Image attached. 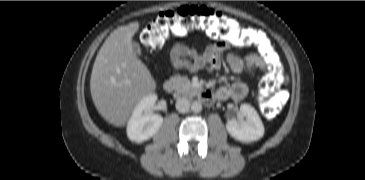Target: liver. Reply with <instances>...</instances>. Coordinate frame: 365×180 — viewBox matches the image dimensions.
<instances>
[{
  "mask_svg": "<svg viewBox=\"0 0 365 180\" xmlns=\"http://www.w3.org/2000/svg\"><path fill=\"white\" fill-rule=\"evenodd\" d=\"M138 22L115 29L94 62L90 90L99 114L116 127L125 126L135 105L156 89L147 66L131 48Z\"/></svg>",
  "mask_w": 365,
  "mask_h": 180,
  "instance_id": "6515ba94",
  "label": "liver"
}]
</instances>
